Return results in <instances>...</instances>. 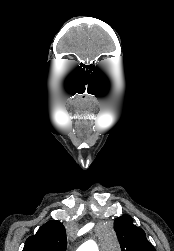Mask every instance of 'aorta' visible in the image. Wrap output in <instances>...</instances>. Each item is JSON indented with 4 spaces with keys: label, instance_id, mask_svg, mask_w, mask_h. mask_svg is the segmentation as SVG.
I'll return each instance as SVG.
<instances>
[{
    "label": "aorta",
    "instance_id": "aorta-1",
    "mask_svg": "<svg viewBox=\"0 0 174 251\" xmlns=\"http://www.w3.org/2000/svg\"><path fill=\"white\" fill-rule=\"evenodd\" d=\"M105 238L107 242V250L114 251L117 246V239L112 228H105ZM76 251H99L98 246L93 242H85Z\"/></svg>",
    "mask_w": 174,
    "mask_h": 251
}]
</instances>
